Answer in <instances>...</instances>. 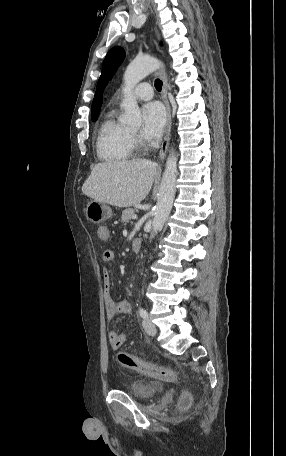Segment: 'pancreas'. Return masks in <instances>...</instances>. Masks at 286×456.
<instances>
[{"label":"pancreas","instance_id":"pancreas-1","mask_svg":"<svg viewBox=\"0 0 286 456\" xmlns=\"http://www.w3.org/2000/svg\"><path fill=\"white\" fill-rule=\"evenodd\" d=\"M134 214H135V209H133V208L125 209L122 212L121 221L124 223H128Z\"/></svg>","mask_w":286,"mask_h":456}]
</instances>
